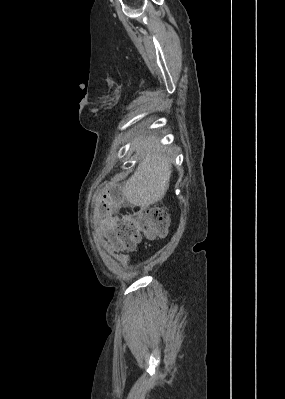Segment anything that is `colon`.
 <instances>
[{
    "label": "colon",
    "instance_id": "1",
    "mask_svg": "<svg viewBox=\"0 0 285 399\" xmlns=\"http://www.w3.org/2000/svg\"><path fill=\"white\" fill-rule=\"evenodd\" d=\"M118 207V193L109 189L101 194L95 211L103 223L104 237L112 239L121 252L132 251L142 236H163L169 231L167 214L161 208L149 207L131 213H117Z\"/></svg>",
    "mask_w": 285,
    "mask_h": 399
}]
</instances>
